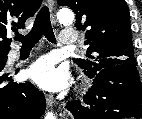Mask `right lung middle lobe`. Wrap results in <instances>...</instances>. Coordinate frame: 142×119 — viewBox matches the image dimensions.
<instances>
[{"label":"right lung middle lobe","instance_id":"right-lung-middle-lobe-1","mask_svg":"<svg viewBox=\"0 0 142 119\" xmlns=\"http://www.w3.org/2000/svg\"><path fill=\"white\" fill-rule=\"evenodd\" d=\"M3 58H5V55H0V60H2Z\"/></svg>","mask_w":142,"mask_h":119}]
</instances>
